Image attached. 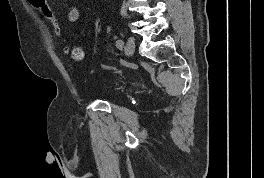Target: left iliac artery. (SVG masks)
Here are the masks:
<instances>
[{
  "mask_svg": "<svg viewBox=\"0 0 264 178\" xmlns=\"http://www.w3.org/2000/svg\"><path fill=\"white\" fill-rule=\"evenodd\" d=\"M123 45H124V42L121 39L117 40V42H116V47L117 48H122Z\"/></svg>",
  "mask_w": 264,
  "mask_h": 178,
  "instance_id": "1",
  "label": "left iliac artery"
}]
</instances>
